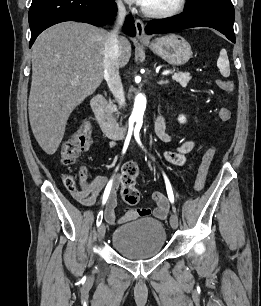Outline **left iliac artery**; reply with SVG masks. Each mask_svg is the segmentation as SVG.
Returning <instances> with one entry per match:
<instances>
[{
	"label": "left iliac artery",
	"instance_id": "1",
	"mask_svg": "<svg viewBox=\"0 0 261 306\" xmlns=\"http://www.w3.org/2000/svg\"><path fill=\"white\" fill-rule=\"evenodd\" d=\"M135 138L138 142V144L140 146H142L141 144V141H140V138H139V135L138 134H135ZM164 178H165V183H166V189H167V194H168V197H169V200L171 203L174 202V195H173V191H172V188H171V185H170V182L168 180V178L166 177V175L164 174Z\"/></svg>",
	"mask_w": 261,
	"mask_h": 306
}]
</instances>
